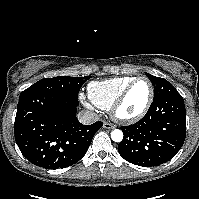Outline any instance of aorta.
Here are the masks:
<instances>
[{
    "label": "aorta",
    "instance_id": "obj_1",
    "mask_svg": "<svg viewBox=\"0 0 199 199\" xmlns=\"http://www.w3.org/2000/svg\"><path fill=\"white\" fill-rule=\"evenodd\" d=\"M111 139L114 142H121L123 139V132L119 129H115L111 132Z\"/></svg>",
    "mask_w": 199,
    "mask_h": 199
}]
</instances>
